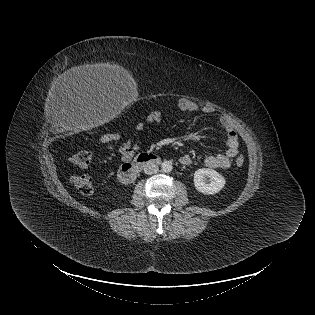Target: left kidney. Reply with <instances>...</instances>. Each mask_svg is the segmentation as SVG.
Here are the masks:
<instances>
[{"mask_svg": "<svg viewBox=\"0 0 315 315\" xmlns=\"http://www.w3.org/2000/svg\"><path fill=\"white\" fill-rule=\"evenodd\" d=\"M225 183V178L212 169L201 168L194 173L195 188L204 194L218 193L225 186Z\"/></svg>", "mask_w": 315, "mask_h": 315, "instance_id": "left-kidney-1", "label": "left kidney"}]
</instances>
